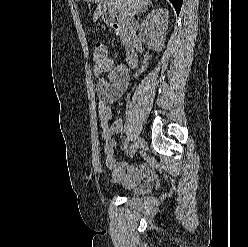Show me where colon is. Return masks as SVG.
Here are the masks:
<instances>
[{"mask_svg":"<svg viewBox=\"0 0 248 247\" xmlns=\"http://www.w3.org/2000/svg\"><path fill=\"white\" fill-rule=\"evenodd\" d=\"M94 55L98 61H104L107 58L105 46L101 43H98L95 47V54Z\"/></svg>","mask_w":248,"mask_h":247,"instance_id":"obj_1","label":"colon"}]
</instances>
